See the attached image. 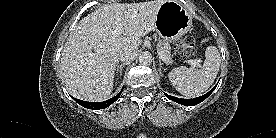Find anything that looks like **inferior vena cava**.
Segmentation results:
<instances>
[{
    "mask_svg": "<svg viewBox=\"0 0 276 138\" xmlns=\"http://www.w3.org/2000/svg\"><path fill=\"white\" fill-rule=\"evenodd\" d=\"M137 56V49H126L121 51L118 55V59L124 63H130L135 60Z\"/></svg>",
    "mask_w": 276,
    "mask_h": 138,
    "instance_id": "inferior-vena-cava-1",
    "label": "inferior vena cava"
}]
</instances>
